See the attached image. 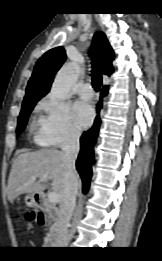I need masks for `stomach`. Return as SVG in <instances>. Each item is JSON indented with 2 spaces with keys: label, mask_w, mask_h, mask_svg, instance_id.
Returning a JSON list of instances; mask_svg holds the SVG:
<instances>
[{
  "label": "stomach",
  "mask_w": 162,
  "mask_h": 261,
  "mask_svg": "<svg viewBox=\"0 0 162 261\" xmlns=\"http://www.w3.org/2000/svg\"><path fill=\"white\" fill-rule=\"evenodd\" d=\"M25 203L28 207H35L37 205L34 195H27L25 197Z\"/></svg>",
  "instance_id": "0dacf381"
}]
</instances>
